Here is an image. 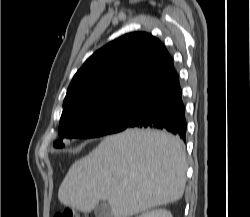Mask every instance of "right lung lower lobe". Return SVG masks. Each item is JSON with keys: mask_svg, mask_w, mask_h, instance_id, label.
<instances>
[{"mask_svg": "<svg viewBox=\"0 0 250 217\" xmlns=\"http://www.w3.org/2000/svg\"><path fill=\"white\" fill-rule=\"evenodd\" d=\"M127 128L164 129L186 140L187 122L178 74L143 93Z\"/></svg>", "mask_w": 250, "mask_h": 217, "instance_id": "right-lung-lower-lobe-1", "label": "right lung lower lobe"}]
</instances>
